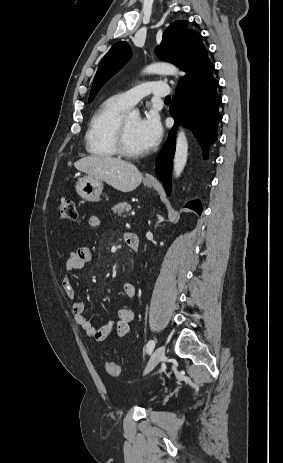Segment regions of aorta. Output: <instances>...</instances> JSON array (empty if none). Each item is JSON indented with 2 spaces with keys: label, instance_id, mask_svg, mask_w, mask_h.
I'll return each mask as SVG.
<instances>
[{
  "label": "aorta",
  "instance_id": "obj_1",
  "mask_svg": "<svg viewBox=\"0 0 283 463\" xmlns=\"http://www.w3.org/2000/svg\"><path fill=\"white\" fill-rule=\"evenodd\" d=\"M144 73L164 74L176 76L180 74L179 69L170 63H154L147 66ZM133 114L138 115V110H133ZM188 157V141L184 130L181 128L176 139V150L174 155V176L178 178L183 172Z\"/></svg>",
  "mask_w": 283,
  "mask_h": 463
}]
</instances>
